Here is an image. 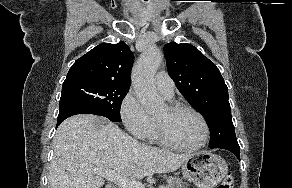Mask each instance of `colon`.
Listing matches in <instances>:
<instances>
[{
  "mask_svg": "<svg viewBox=\"0 0 292 188\" xmlns=\"http://www.w3.org/2000/svg\"><path fill=\"white\" fill-rule=\"evenodd\" d=\"M233 186H234L233 176L231 173H227L225 178L216 188H233Z\"/></svg>",
  "mask_w": 292,
  "mask_h": 188,
  "instance_id": "colon-1",
  "label": "colon"
}]
</instances>
